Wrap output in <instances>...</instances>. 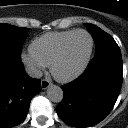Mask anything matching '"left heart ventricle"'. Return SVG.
Listing matches in <instances>:
<instances>
[{"label":"left heart ventricle","instance_id":"left-heart-ventricle-1","mask_svg":"<svg viewBox=\"0 0 128 128\" xmlns=\"http://www.w3.org/2000/svg\"><path fill=\"white\" fill-rule=\"evenodd\" d=\"M90 47V40L84 33H78L69 41L62 60L56 67L60 76H68L75 72L86 58Z\"/></svg>","mask_w":128,"mask_h":128}]
</instances>
